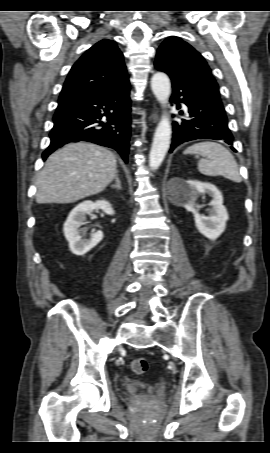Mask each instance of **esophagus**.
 Segmentation results:
<instances>
[{
  "label": "esophagus",
  "mask_w": 270,
  "mask_h": 453,
  "mask_svg": "<svg viewBox=\"0 0 270 453\" xmlns=\"http://www.w3.org/2000/svg\"><path fill=\"white\" fill-rule=\"evenodd\" d=\"M158 118V115L157 114H153V119L156 121Z\"/></svg>",
  "instance_id": "1"
}]
</instances>
